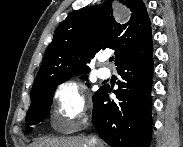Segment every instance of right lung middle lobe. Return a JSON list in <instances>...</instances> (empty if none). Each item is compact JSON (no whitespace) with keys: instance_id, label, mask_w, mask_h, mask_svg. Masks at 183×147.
I'll return each mask as SVG.
<instances>
[{"instance_id":"obj_1","label":"right lung middle lobe","mask_w":183,"mask_h":147,"mask_svg":"<svg viewBox=\"0 0 183 147\" xmlns=\"http://www.w3.org/2000/svg\"><path fill=\"white\" fill-rule=\"evenodd\" d=\"M70 78L57 79L45 87L31 91V105L26 116V131L31 132L33 130L31 125H36L49 116L56 87ZM82 78L86 79L87 75H83Z\"/></svg>"}]
</instances>
